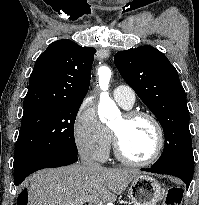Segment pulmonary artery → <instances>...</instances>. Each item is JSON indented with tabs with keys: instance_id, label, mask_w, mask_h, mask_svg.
Wrapping results in <instances>:
<instances>
[{
	"instance_id": "1",
	"label": "pulmonary artery",
	"mask_w": 199,
	"mask_h": 205,
	"mask_svg": "<svg viewBox=\"0 0 199 205\" xmlns=\"http://www.w3.org/2000/svg\"><path fill=\"white\" fill-rule=\"evenodd\" d=\"M114 98L119 104L131 107L135 102V93L130 86L119 85L114 90Z\"/></svg>"
}]
</instances>
